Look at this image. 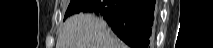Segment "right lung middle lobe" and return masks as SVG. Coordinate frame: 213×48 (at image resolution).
Wrapping results in <instances>:
<instances>
[{
    "label": "right lung middle lobe",
    "mask_w": 213,
    "mask_h": 48,
    "mask_svg": "<svg viewBox=\"0 0 213 48\" xmlns=\"http://www.w3.org/2000/svg\"><path fill=\"white\" fill-rule=\"evenodd\" d=\"M87 1L88 0H71L69 6L67 8V11L65 13L64 20L72 14L81 12V10L83 9V7L87 3Z\"/></svg>",
    "instance_id": "right-lung-middle-lobe-1"
}]
</instances>
